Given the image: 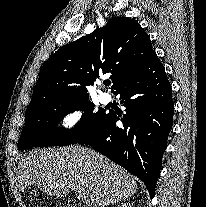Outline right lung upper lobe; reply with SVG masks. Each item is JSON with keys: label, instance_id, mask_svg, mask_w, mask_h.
Segmentation results:
<instances>
[{"label": "right lung upper lobe", "instance_id": "obj_1", "mask_svg": "<svg viewBox=\"0 0 206 207\" xmlns=\"http://www.w3.org/2000/svg\"><path fill=\"white\" fill-rule=\"evenodd\" d=\"M156 56L149 36L135 20L114 17L103 28L56 51L43 65L26 112L47 103L88 97L86 86L99 73L111 74V87L139 74Z\"/></svg>", "mask_w": 206, "mask_h": 207}]
</instances>
